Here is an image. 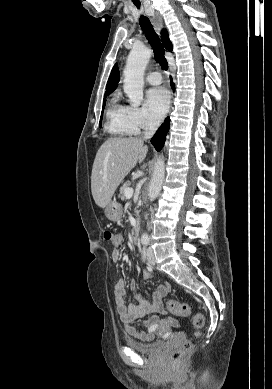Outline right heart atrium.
Masks as SVG:
<instances>
[{"instance_id": "right-heart-atrium-1", "label": "right heart atrium", "mask_w": 272, "mask_h": 389, "mask_svg": "<svg viewBox=\"0 0 272 389\" xmlns=\"http://www.w3.org/2000/svg\"><path fill=\"white\" fill-rule=\"evenodd\" d=\"M130 113L135 127L139 129H150L156 125V122L149 113L142 107L131 106Z\"/></svg>"}]
</instances>
